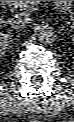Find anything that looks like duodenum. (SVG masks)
Masks as SVG:
<instances>
[{"label": "duodenum", "mask_w": 74, "mask_h": 122, "mask_svg": "<svg viewBox=\"0 0 74 122\" xmlns=\"http://www.w3.org/2000/svg\"><path fill=\"white\" fill-rule=\"evenodd\" d=\"M5 4H7V3H9V2H11V1H3Z\"/></svg>", "instance_id": "1"}]
</instances>
